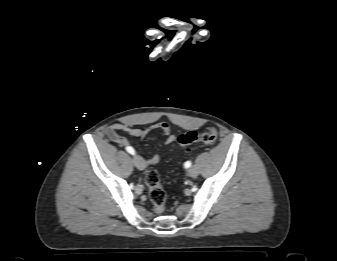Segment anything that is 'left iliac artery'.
Segmentation results:
<instances>
[{"mask_svg":"<svg viewBox=\"0 0 337 261\" xmlns=\"http://www.w3.org/2000/svg\"><path fill=\"white\" fill-rule=\"evenodd\" d=\"M191 161H187V162H185V164H184V166H185V168H189L190 166H191Z\"/></svg>","mask_w":337,"mask_h":261,"instance_id":"1","label":"left iliac artery"}]
</instances>
